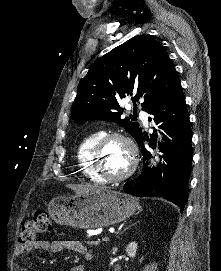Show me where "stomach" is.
<instances>
[{
	"label": "stomach",
	"mask_w": 221,
	"mask_h": 271,
	"mask_svg": "<svg viewBox=\"0 0 221 271\" xmlns=\"http://www.w3.org/2000/svg\"><path fill=\"white\" fill-rule=\"evenodd\" d=\"M48 207L57 223L87 229L124 221L135 213L139 203L137 197L123 191L96 189L75 197H52Z\"/></svg>",
	"instance_id": "obj_1"
}]
</instances>
